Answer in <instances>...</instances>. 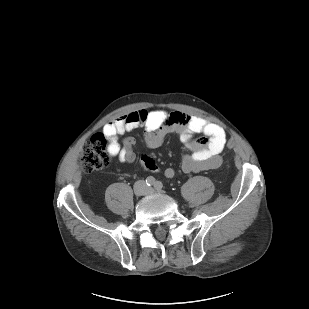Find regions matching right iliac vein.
I'll list each match as a JSON object with an SVG mask.
<instances>
[{
	"mask_svg": "<svg viewBox=\"0 0 309 309\" xmlns=\"http://www.w3.org/2000/svg\"><path fill=\"white\" fill-rule=\"evenodd\" d=\"M136 195H139V191L138 189L135 190Z\"/></svg>",
	"mask_w": 309,
	"mask_h": 309,
	"instance_id": "right-iliac-vein-1",
	"label": "right iliac vein"
}]
</instances>
